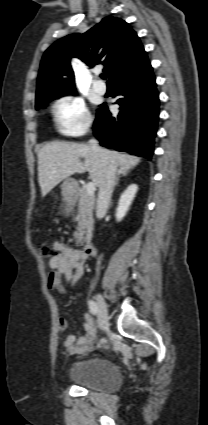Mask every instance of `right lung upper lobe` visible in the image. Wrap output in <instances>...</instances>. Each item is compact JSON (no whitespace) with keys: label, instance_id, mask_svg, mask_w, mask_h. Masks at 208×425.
Listing matches in <instances>:
<instances>
[{"label":"right lung upper lobe","instance_id":"right-lung-upper-lobe-1","mask_svg":"<svg viewBox=\"0 0 208 425\" xmlns=\"http://www.w3.org/2000/svg\"><path fill=\"white\" fill-rule=\"evenodd\" d=\"M147 56L136 32L116 17H105L83 34L67 35L44 53L37 80L36 103L52 93L75 91L70 60L77 57L93 67L105 65L112 81Z\"/></svg>","mask_w":208,"mask_h":425}]
</instances>
